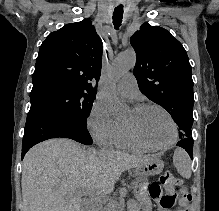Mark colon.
I'll list each match as a JSON object with an SVG mask.
<instances>
[{
    "label": "colon",
    "mask_w": 219,
    "mask_h": 211,
    "mask_svg": "<svg viewBox=\"0 0 219 211\" xmlns=\"http://www.w3.org/2000/svg\"><path fill=\"white\" fill-rule=\"evenodd\" d=\"M160 184L165 188L167 194L169 197L172 198V200L176 201V196L173 194L175 187H181L182 181L180 178L176 177L172 172L165 171L159 178ZM189 198L188 192L181 187L180 189V195L177 199L178 203L182 205L184 201H186Z\"/></svg>",
    "instance_id": "obj_1"
}]
</instances>
